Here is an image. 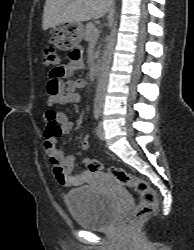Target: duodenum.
I'll return each instance as SVG.
<instances>
[{
	"instance_id": "duodenum-1",
	"label": "duodenum",
	"mask_w": 194,
	"mask_h": 250,
	"mask_svg": "<svg viewBox=\"0 0 194 250\" xmlns=\"http://www.w3.org/2000/svg\"><path fill=\"white\" fill-rule=\"evenodd\" d=\"M101 66H102V61L97 60L94 64V67H93V76L95 78H97L99 76L100 71H101Z\"/></svg>"
}]
</instances>
